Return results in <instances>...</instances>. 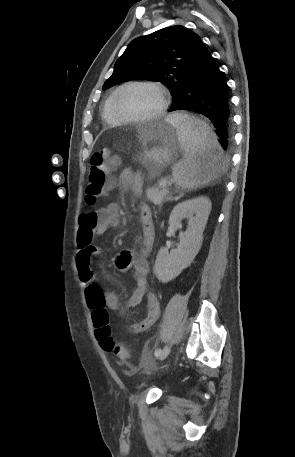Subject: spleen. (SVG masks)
Instances as JSON below:
<instances>
[{"instance_id":"obj_1","label":"spleen","mask_w":295,"mask_h":457,"mask_svg":"<svg viewBox=\"0 0 295 457\" xmlns=\"http://www.w3.org/2000/svg\"><path fill=\"white\" fill-rule=\"evenodd\" d=\"M166 120L173 124L184 157L173 168V179L183 189H196L225 171L217 137L202 120L185 113H174Z\"/></svg>"}]
</instances>
